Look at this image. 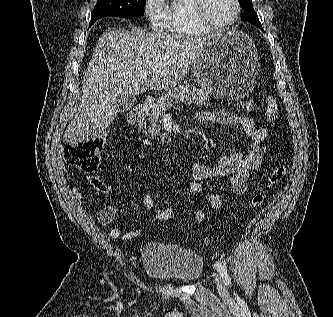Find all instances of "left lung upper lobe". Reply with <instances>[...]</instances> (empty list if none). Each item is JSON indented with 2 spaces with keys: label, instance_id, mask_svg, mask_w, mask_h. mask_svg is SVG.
I'll return each mask as SVG.
<instances>
[{
  "label": "left lung upper lobe",
  "instance_id": "5c2ea615",
  "mask_svg": "<svg viewBox=\"0 0 333 317\" xmlns=\"http://www.w3.org/2000/svg\"><path fill=\"white\" fill-rule=\"evenodd\" d=\"M242 8L244 9V15L242 16V21H247L255 24L257 27L262 29V25L259 21V18L252 7L251 0H238ZM263 30V29H262Z\"/></svg>",
  "mask_w": 333,
  "mask_h": 317
}]
</instances>
